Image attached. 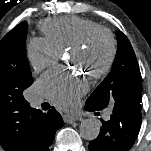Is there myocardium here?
<instances>
[{
    "label": "myocardium",
    "mask_w": 151,
    "mask_h": 151,
    "mask_svg": "<svg viewBox=\"0 0 151 151\" xmlns=\"http://www.w3.org/2000/svg\"><path fill=\"white\" fill-rule=\"evenodd\" d=\"M100 37H104L107 40L109 51L104 64L98 69L88 72V74L93 78H101L102 76L107 74L114 63L116 57V42L110 30L104 27L94 28L90 30L84 36V38L76 43L70 50L71 53H83L85 51H88L92 47L94 42Z\"/></svg>",
    "instance_id": "myocardium-1"
}]
</instances>
